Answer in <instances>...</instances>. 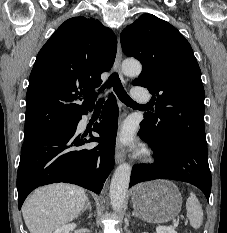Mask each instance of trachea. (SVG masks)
<instances>
[{"label":"trachea","mask_w":227,"mask_h":233,"mask_svg":"<svg viewBox=\"0 0 227 233\" xmlns=\"http://www.w3.org/2000/svg\"><path fill=\"white\" fill-rule=\"evenodd\" d=\"M106 86L107 87L112 86L118 98L127 106H145V105H140L136 103L130 98V96L127 94V92L124 90V87L122 86L118 73L114 72L109 76L106 82ZM103 101H104L103 98L100 99L97 102V105H102Z\"/></svg>","instance_id":"obj_1"}]
</instances>
